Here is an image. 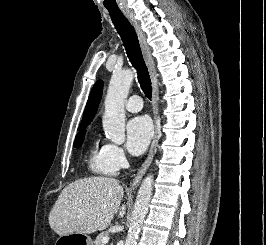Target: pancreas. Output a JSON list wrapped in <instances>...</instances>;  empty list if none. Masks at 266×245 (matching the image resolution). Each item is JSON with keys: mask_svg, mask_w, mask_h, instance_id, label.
Segmentation results:
<instances>
[{"mask_svg": "<svg viewBox=\"0 0 266 245\" xmlns=\"http://www.w3.org/2000/svg\"><path fill=\"white\" fill-rule=\"evenodd\" d=\"M103 237H109V235H108V233H106V231H104V233H100V235H98V237H96V241H95L94 245H103V243H102Z\"/></svg>", "mask_w": 266, "mask_h": 245, "instance_id": "1", "label": "pancreas"}]
</instances>
